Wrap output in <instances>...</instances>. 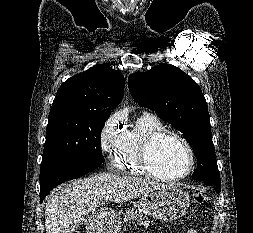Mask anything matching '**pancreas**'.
<instances>
[{"mask_svg":"<svg viewBox=\"0 0 253 233\" xmlns=\"http://www.w3.org/2000/svg\"><path fill=\"white\" fill-rule=\"evenodd\" d=\"M140 224L145 226L146 228H148L149 226V220L147 218V216H144L143 214L139 213L137 210H135L134 208H130L126 211V213L124 214V219H123V223L127 224L130 221H136Z\"/></svg>","mask_w":253,"mask_h":233,"instance_id":"obj_1","label":"pancreas"}]
</instances>
